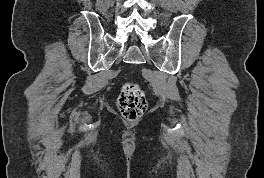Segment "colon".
Segmentation results:
<instances>
[{
  "mask_svg": "<svg viewBox=\"0 0 264 178\" xmlns=\"http://www.w3.org/2000/svg\"><path fill=\"white\" fill-rule=\"evenodd\" d=\"M117 105L122 115L128 120L140 118L147 109L144 92L133 82H128L123 86Z\"/></svg>",
  "mask_w": 264,
  "mask_h": 178,
  "instance_id": "obj_1",
  "label": "colon"
}]
</instances>
